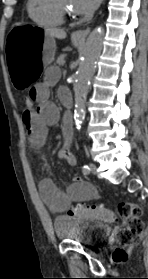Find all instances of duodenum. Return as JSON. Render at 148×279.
<instances>
[{"label": "duodenum", "mask_w": 148, "mask_h": 279, "mask_svg": "<svg viewBox=\"0 0 148 279\" xmlns=\"http://www.w3.org/2000/svg\"><path fill=\"white\" fill-rule=\"evenodd\" d=\"M63 104L68 109L72 107V101L70 99H63Z\"/></svg>", "instance_id": "duodenum-1"}]
</instances>
